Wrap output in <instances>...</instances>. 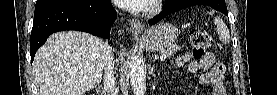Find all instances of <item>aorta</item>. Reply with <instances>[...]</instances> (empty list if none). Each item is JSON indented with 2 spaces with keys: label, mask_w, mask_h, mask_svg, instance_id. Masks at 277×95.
Returning <instances> with one entry per match:
<instances>
[{
  "label": "aorta",
  "mask_w": 277,
  "mask_h": 95,
  "mask_svg": "<svg viewBox=\"0 0 277 95\" xmlns=\"http://www.w3.org/2000/svg\"><path fill=\"white\" fill-rule=\"evenodd\" d=\"M129 75L134 95H144L146 92V75L144 62L139 55L130 56Z\"/></svg>",
  "instance_id": "obj_1"
}]
</instances>
